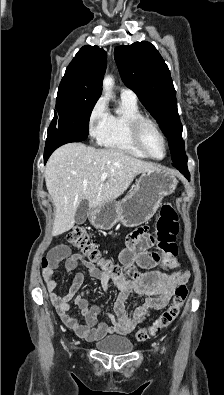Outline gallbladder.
Listing matches in <instances>:
<instances>
[{
  "mask_svg": "<svg viewBox=\"0 0 224 395\" xmlns=\"http://www.w3.org/2000/svg\"><path fill=\"white\" fill-rule=\"evenodd\" d=\"M89 212H90V207L88 201L82 200L76 209L75 223L78 225L83 224L86 221Z\"/></svg>",
  "mask_w": 224,
  "mask_h": 395,
  "instance_id": "1",
  "label": "gallbladder"
}]
</instances>
